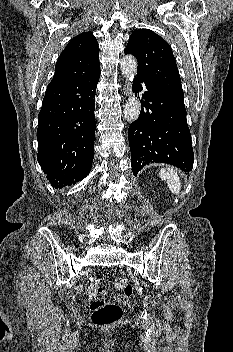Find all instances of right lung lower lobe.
Here are the masks:
<instances>
[{
  "mask_svg": "<svg viewBox=\"0 0 233 352\" xmlns=\"http://www.w3.org/2000/svg\"><path fill=\"white\" fill-rule=\"evenodd\" d=\"M100 70L46 90L38 115V162L56 188L76 183L91 170L95 138V93Z\"/></svg>",
  "mask_w": 233,
  "mask_h": 352,
  "instance_id": "1",
  "label": "right lung lower lobe"
}]
</instances>
